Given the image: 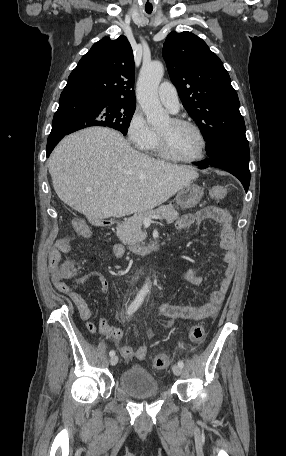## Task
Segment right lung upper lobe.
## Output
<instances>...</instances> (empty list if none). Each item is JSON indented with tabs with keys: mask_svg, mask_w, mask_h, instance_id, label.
<instances>
[{
	"mask_svg": "<svg viewBox=\"0 0 286 456\" xmlns=\"http://www.w3.org/2000/svg\"><path fill=\"white\" fill-rule=\"evenodd\" d=\"M134 72L133 51L127 38L123 35L116 40L105 37L81 58L63 92L135 105Z\"/></svg>",
	"mask_w": 286,
	"mask_h": 456,
	"instance_id": "obj_1",
	"label": "right lung upper lobe"
}]
</instances>
